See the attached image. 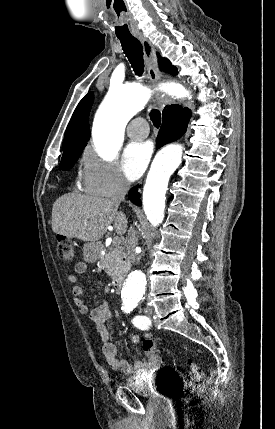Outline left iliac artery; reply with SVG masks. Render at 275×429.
Listing matches in <instances>:
<instances>
[{
  "instance_id": "44dca946",
  "label": "left iliac artery",
  "mask_w": 275,
  "mask_h": 429,
  "mask_svg": "<svg viewBox=\"0 0 275 429\" xmlns=\"http://www.w3.org/2000/svg\"><path fill=\"white\" fill-rule=\"evenodd\" d=\"M126 312H130L131 308H127V310H125ZM150 319L146 316H142V315H138L136 317L133 318V325L136 328H139L141 330H145L148 329L150 326Z\"/></svg>"
}]
</instances>
